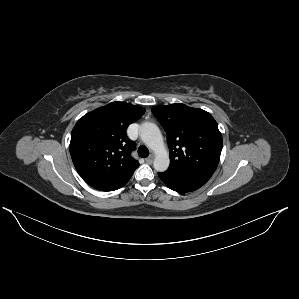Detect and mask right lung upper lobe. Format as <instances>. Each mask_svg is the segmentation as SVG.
<instances>
[{
  "label": "right lung upper lobe",
  "mask_w": 299,
  "mask_h": 299,
  "mask_svg": "<svg viewBox=\"0 0 299 299\" xmlns=\"http://www.w3.org/2000/svg\"><path fill=\"white\" fill-rule=\"evenodd\" d=\"M145 110L112 102L80 118L71 133L70 154L79 175L92 187L130 178L139 166L127 127Z\"/></svg>",
  "instance_id": "1"
}]
</instances>
